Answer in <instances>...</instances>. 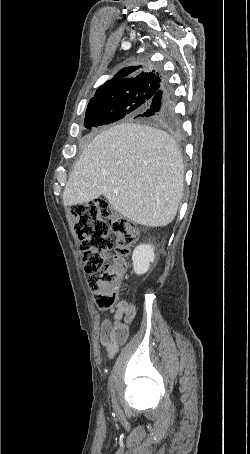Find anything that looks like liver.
<instances>
[{"instance_id":"liver-1","label":"liver","mask_w":250,"mask_h":454,"mask_svg":"<svg viewBox=\"0 0 250 454\" xmlns=\"http://www.w3.org/2000/svg\"><path fill=\"white\" fill-rule=\"evenodd\" d=\"M180 150L165 131L134 123L115 125L85 148L63 192L66 206L104 195L134 223L163 227L172 222L183 196Z\"/></svg>"}]
</instances>
